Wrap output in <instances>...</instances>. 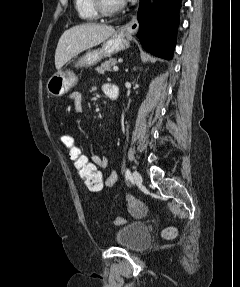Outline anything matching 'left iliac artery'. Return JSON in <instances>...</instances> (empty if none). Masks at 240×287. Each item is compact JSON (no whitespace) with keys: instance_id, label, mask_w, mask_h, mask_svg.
Listing matches in <instances>:
<instances>
[{"instance_id":"44dca946","label":"left iliac artery","mask_w":240,"mask_h":287,"mask_svg":"<svg viewBox=\"0 0 240 287\" xmlns=\"http://www.w3.org/2000/svg\"><path fill=\"white\" fill-rule=\"evenodd\" d=\"M125 177H126L127 180L131 178V173H130V170H129V169H126V171H125Z\"/></svg>"}]
</instances>
